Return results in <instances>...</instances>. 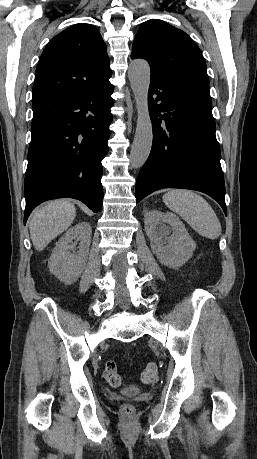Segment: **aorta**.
<instances>
[{
  "instance_id": "obj_1",
  "label": "aorta",
  "mask_w": 257,
  "mask_h": 459,
  "mask_svg": "<svg viewBox=\"0 0 257 459\" xmlns=\"http://www.w3.org/2000/svg\"><path fill=\"white\" fill-rule=\"evenodd\" d=\"M128 78L137 106V126L130 152L133 168H140L146 162L153 140L152 122L148 109L150 67L143 59L133 60L129 65Z\"/></svg>"
}]
</instances>
